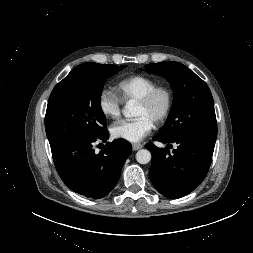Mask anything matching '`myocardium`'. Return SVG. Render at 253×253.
Returning <instances> with one entry per match:
<instances>
[{"label":"myocardium","instance_id":"1","mask_svg":"<svg viewBox=\"0 0 253 253\" xmlns=\"http://www.w3.org/2000/svg\"><path fill=\"white\" fill-rule=\"evenodd\" d=\"M159 94H164L166 97V104L163 111L155 119L156 124L164 123L170 116L174 106V92L172 88L166 84H158L150 89L144 96H142L138 103L142 105H151Z\"/></svg>","mask_w":253,"mask_h":253}]
</instances>
